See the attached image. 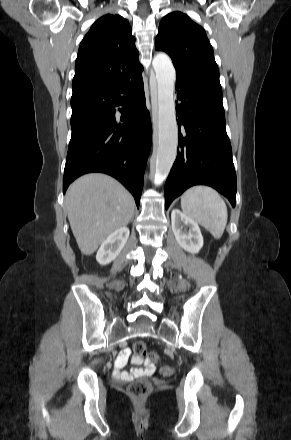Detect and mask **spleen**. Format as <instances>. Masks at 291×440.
<instances>
[{"label": "spleen", "instance_id": "1", "mask_svg": "<svg viewBox=\"0 0 291 440\" xmlns=\"http://www.w3.org/2000/svg\"><path fill=\"white\" fill-rule=\"evenodd\" d=\"M181 208L187 216L207 229L215 239L222 237L228 213L224 200L216 190L203 185L189 188L181 197Z\"/></svg>", "mask_w": 291, "mask_h": 440}]
</instances>
